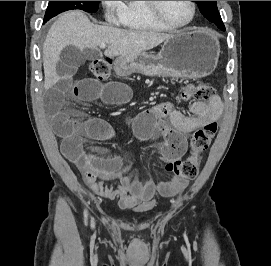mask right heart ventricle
<instances>
[{
	"label": "right heart ventricle",
	"mask_w": 271,
	"mask_h": 266,
	"mask_svg": "<svg viewBox=\"0 0 271 266\" xmlns=\"http://www.w3.org/2000/svg\"><path fill=\"white\" fill-rule=\"evenodd\" d=\"M121 24L131 30L163 32L169 28L156 21L146 7V1H127L120 14Z\"/></svg>",
	"instance_id": "obj_1"
}]
</instances>
